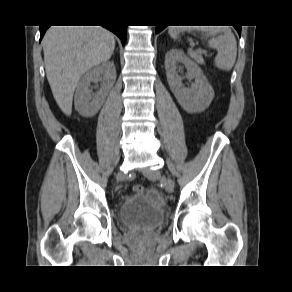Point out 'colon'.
<instances>
[{
	"mask_svg": "<svg viewBox=\"0 0 292 292\" xmlns=\"http://www.w3.org/2000/svg\"><path fill=\"white\" fill-rule=\"evenodd\" d=\"M143 190H144V187L142 185H140V184H136V185L133 186V191L135 193H140Z\"/></svg>",
	"mask_w": 292,
	"mask_h": 292,
	"instance_id": "5ec220e1",
	"label": "colon"
}]
</instances>
